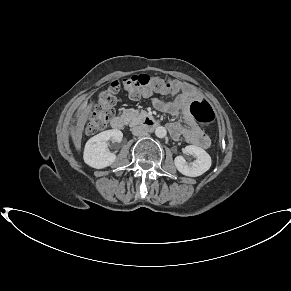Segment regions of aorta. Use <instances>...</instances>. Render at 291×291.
I'll list each match as a JSON object with an SVG mask.
<instances>
[{"instance_id":"obj_1","label":"aorta","mask_w":291,"mask_h":291,"mask_svg":"<svg viewBox=\"0 0 291 291\" xmlns=\"http://www.w3.org/2000/svg\"><path fill=\"white\" fill-rule=\"evenodd\" d=\"M167 134V131L165 129V127L163 126H159L155 129V135L158 137V138H164Z\"/></svg>"}]
</instances>
